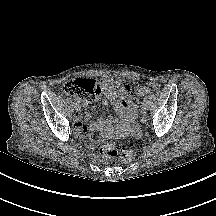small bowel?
<instances>
[{"mask_svg":"<svg viewBox=\"0 0 216 216\" xmlns=\"http://www.w3.org/2000/svg\"><path fill=\"white\" fill-rule=\"evenodd\" d=\"M101 86L107 97L103 105H108V102L112 103L119 118L109 116L106 119L93 121L87 127L89 113L76 114L74 117L75 132L80 137L88 136L94 142L97 141V135L106 140L133 134L136 131L135 119L138 101L134 97L131 86L120 79L113 78L103 79ZM84 107L90 111L94 108V103H85Z\"/></svg>","mask_w":216,"mask_h":216,"instance_id":"small-bowel-1","label":"small bowel"}]
</instances>
